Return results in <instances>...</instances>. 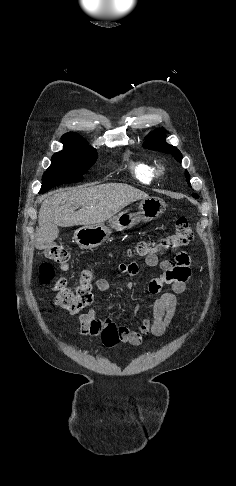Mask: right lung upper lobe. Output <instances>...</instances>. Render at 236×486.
<instances>
[{"instance_id": "obj_1", "label": "right lung upper lobe", "mask_w": 236, "mask_h": 486, "mask_svg": "<svg viewBox=\"0 0 236 486\" xmlns=\"http://www.w3.org/2000/svg\"><path fill=\"white\" fill-rule=\"evenodd\" d=\"M63 141L77 142L85 144V140L74 132H68L62 136Z\"/></svg>"}]
</instances>
